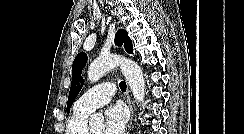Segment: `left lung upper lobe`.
<instances>
[{"mask_svg":"<svg viewBox=\"0 0 244 134\" xmlns=\"http://www.w3.org/2000/svg\"><path fill=\"white\" fill-rule=\"evenodd\" d=\"M115 43L118 46H121L124 44L125 50L133 54V48H132V41L127 35V32L125 30H119L115 37ZM87 62V55L83 52H80L73 63L72 66V82H71V88L69 92L68 102H67V113L70 111V107L72 106L76 96L80 92L82 86H83V78L81 77L82 69L85 66Z\"/></svg>","mask_w":244,"mask_h":134,"instance_id":"1","label":"left lung upper lobe"}]
</instances>
